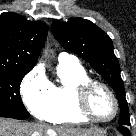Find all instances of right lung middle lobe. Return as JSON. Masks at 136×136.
Here are the masks:
<instances>
[{"label": "right lung middle lobe", "instance_id": "dd1d6c3e", "mask_svg": "<svg viewBox=\"0 0 136 136\" xmlns=\"http://www.w3.org/2000/svg\"><path fill=\"white\" fill-rule=\"evenodd\" d=\"M28 72L0 70V117L14 119H27L29 117L19 93L21 81Z\"/></svg>", "mask_w": 136, "mask_h": 136}]
</instances>
